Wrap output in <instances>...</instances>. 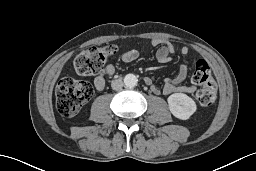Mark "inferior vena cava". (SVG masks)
Wrapping results in <instances>:
<instances>
[{"mask_svg": "<svg viewBox=\"0 0 256 171\" xmlns=\"http://www.w3.org/2000/svg\"><path fill=\"white\" fill-rule=\"evenodd\" d=\"M124 83L121 79L113 80L111 83V87L113 90H120L123 87Z\"/></svg>", "mask_w": 256, "mask_h": 171, "instance_id": "inferior-vena-cava-1", "label": "inferior vena cava"}]
</instances>
